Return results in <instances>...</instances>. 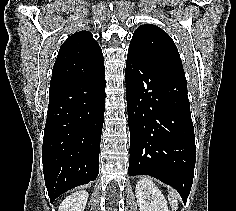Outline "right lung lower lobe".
Returning <instances> with one entry per match:
<instances>
[{
	"instance_id": "right-lung-lower-lobe-1",
	"label": "right lung lower lobe",
	"mask_w": 236,
	"mask_h": 211,
	"mask_svg": "<svg viewBox=\"0 0 236 211\" xmlns=\"http://www.w3.org/2000/svg\"><path fill=\"white\" fill-rule=\"evenodd\" d=\"M105 97V69L78 82L50 87L42 160L51 203L98 176Z\"/></svg>"
}]
</instances>
